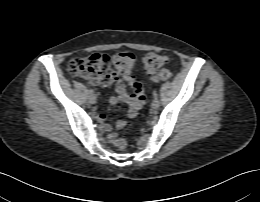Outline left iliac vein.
Masks as SVG:
<instances>
[{
    "mask_svg": "<svg viewBox=\"0 0 260 202\" xmlns=\"http://www.w3.org/2000/svg\"><path fill=\"white\" fill-rule=\"evenodd\" d=\"M159 106H160L159 100L154 99V100L152 101V103H151V107H152L153 109H157Z\"/></svg>",
    "mask_w": 260,
    "mask_h": 202,
    "instance_id": "4c4485c4",
    "label": "left iliac vein"
}]
</instances>
